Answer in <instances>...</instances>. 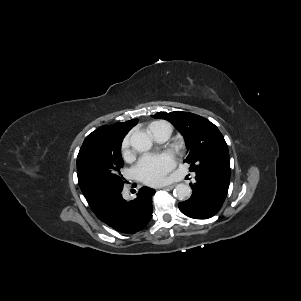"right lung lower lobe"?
<instances>
[{
    "label": "right lung lower lobe",
    "instance_id": "right-lung-lower-lobe-1",
    "mask_svg": "<svg viewBox=\"0 0 301 301\" xmlns=\"http://www.w3.org/2000/svg\"><path fill=\"white\" fill-rule=\"evenodd\" d=\"M121 191L107 199L95 214L118 232L134 234L142 230L152 217V196L155 190L142 187L137 198L130 201L123 199Z\"/></svg>",
    "mask_w": 301,
    "mask_h": 301
}]
</instances>
